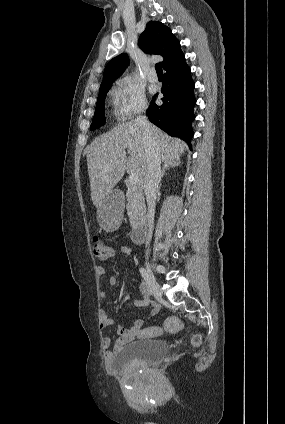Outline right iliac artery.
Returning <instances> with one entry per match:
<instances>
[{"label":"right iliac artery","instance_id":"obj_1","mask_svg":"<svg viewBox=\"0 0 285 424\" xmlns=\"http://www.w3.org/2000/svg\"><path fill=\"white\" fill-rule=\"evenodd\" d=\"M140 274H141V276H142V278H143V280L145 281V283H146V285H147V287H148V290H149V294L150 295H152V288H151V286H150V282H149V275H148V272L144 269V268H140Z\"/></svg>","mask_w":285,"mask_h":424}]
</instances>
